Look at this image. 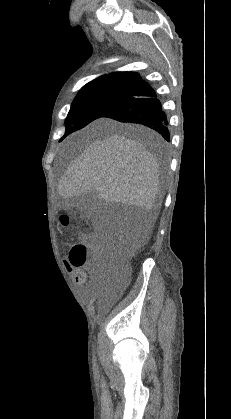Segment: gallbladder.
<instances>
[{
	"label": "gallbladder",
	"mask_w": 231,
	"mask_h": 419,
	"mask_svg": "<svg viewBox=\"0 0 231 419\" xmlns=\"http://www.w3.org/2000/svg\"><path fill=\"white\" fill-rule=\"evenodd\" d=\"M80 201V199H77ZM100 202V198L97 193L94 191H88L81 197V203L83 205V210L86 214H89L90 211H94Z\"/></svg>",
	"instance_id": "obj_1"
}]
</instances>
